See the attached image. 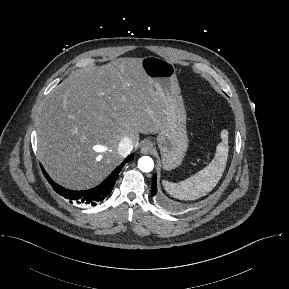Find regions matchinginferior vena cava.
Returning a JSON list of instances; mask_svg holds the SVG:
<instances>
[{"label":"inferior vena cava","instance_id":"inferior-vena-cava-1","mask_svg":"<svg viewBox=\"0 0 289 289\" xmlns=\"http://www.w3.org/2000/svg\"><path fill=\"white\" fill-rule=\"evenodd\" d=\"M133 149L132 140L129 137H124L119 145H118V152L121 156L126 157L130 154Z\"/></svg>","mask_w":289,"mask_h":289}]
</instances>
